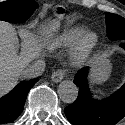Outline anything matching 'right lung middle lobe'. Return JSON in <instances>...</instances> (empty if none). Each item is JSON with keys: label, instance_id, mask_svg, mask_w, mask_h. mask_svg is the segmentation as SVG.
<instances>
[{"label": "right lung middle lobe", "instance_id": "right-lung-middle-lobe-1", "mask_svg": "<svg viewBox=\"0 0 125 125\" xmlns=\"http://www.w3.org/2000/svg\"><path fill=\"white\" fill-rule=\"evenodd\" d=\"M38 7L34 0H9L0 3V20L11 23L26 21Z\"/></svg>", "mask_w": 125, "mask_h": 125}]
</instances>
